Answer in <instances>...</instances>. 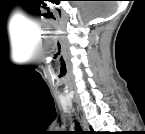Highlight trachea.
I'll return each mask as SVG.
<instances>
[{"mask_svg":"<svg viewBox=\"0 0 145 134\" xmlns=\"http://www.w3.org/2000/svg\"><path fill=\"white\" fill-rule=\"evenodd\" d=\"M76 129H78V130H79V126H76Z\"/></svg>","mask_w":145,"mask_h":134,"instance_id":"1","label":"trachea"}]
</instances>
